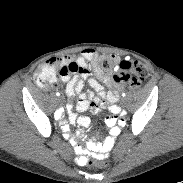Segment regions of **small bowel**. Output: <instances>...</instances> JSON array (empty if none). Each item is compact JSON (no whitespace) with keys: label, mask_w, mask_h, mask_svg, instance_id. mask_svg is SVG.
<instances>
[{"label":"small bowel","mask_w":183,"mask_h":183,"mask_svg":"<svg viewBox=\"0 0 183 183\" xmlns=\"http://www.w3.org/2000/svg\"><path fill=\"white\" fill-rule=\"evenodd\" d=\"M98 54L91 48L84 49L81 53L70 56L52 57L42 65L41 69L48 67L59 68L61 79L66 83L65 91L69 97L78 94L76 111L84 112L90 109L93 113H99L102 109L108 110L113 114L119 112L118 106L115 104L118 99L119 91L122 89L121 84H117L113 78L105 75L97 64ZM68 65V66H67ZM92 72L101 79L110 90L106 91L100 81L92 75ZM87 80L92 91L84 92V81ZM55 80L53 81V83ZM52 83V84H53ZM69 113V121L72 125H76L75 132L70 129V124L65 121V114L62 111H57L54 114V119L59 124V129L64 132V137L70 140L73 148L77 152V162L80 165H85L88 162V151L92 150V157L97 161H107L114 152L117 141L113 137H108L100 144L103 135L100 131L95 130L91 133L92 141L88 143L87 149L84 148V143L81 140L73 139L75 133L78 136H83L86 129L90 126V120L87 117H78L73 111V104L69 103L66 107ZM107 126L110 127V132L113 135H118L121 128L127 125V120L118 115L109 116L106 119Z\"/></svg>","instance_id":"c3829d8e"}]
</instances>
